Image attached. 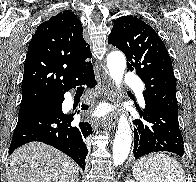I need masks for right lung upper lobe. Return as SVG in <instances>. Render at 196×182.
Listing matches in <instances>:
<instances>
[{"label": "right lung upper lobe", "instance_id": "1", "mask_svg": "<svg viewBox=\"0 0 196 182\" xmlns=\"http://www.w3.org/2000/svg\"><path fill=\"white\" fill-rule=\"evenodd\" d=\"M83 27L70 11L42 23L33 35L25 60L21 105L59 96L92 64V53L83 38Z\"/></svg>", "mask_w": 196, "mask_h": 182}]
</instances>
